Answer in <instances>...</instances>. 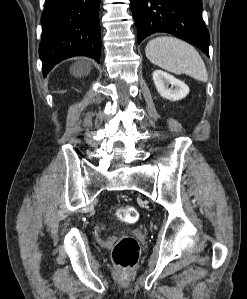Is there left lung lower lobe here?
I'll return each instance as SVG.
<instances>
[{
    "instance_id": "0a47b994",
    "label": "left lung lower lobe",
    "mask_w": 247,
    "mask_h": 299,
    "mask_svg": "<svg viewBox=\"0 0 247 299\" xmlns=\"http://www.w3.org/2000/svg\"><path fill=\"white\" fill-rule=\"evenodd\" d=\"M138 43L166 32L198 47L209 56V32L202 19L201 0H130Z\"/></svg>"
}]
</instances>
